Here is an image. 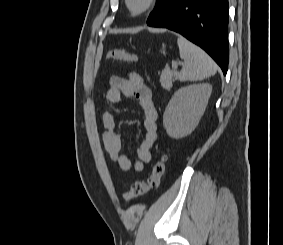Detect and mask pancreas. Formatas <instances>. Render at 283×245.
Wrapping results in <instances>:
<instances>
[{
    "label": "pancreas",
    "mask_w": 283,
    "mask_h": 245,
    "mask_svg": "<svg viewBox=\"0 0 283 245\" xmlns=\"http://www.w3.org/2000/svg\"><path fill=\"white\" fill-rule=\"evenodd\" d=\"M178 76L179 74L176 70L164 69L160 73L161 86L166 90H170L172 87V83L175 79L178 78Z\"/></svg>",
    "instance_id": "pancreas-1"
}]
</instances>
